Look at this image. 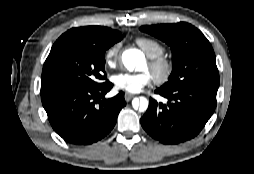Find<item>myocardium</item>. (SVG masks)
Segmentation results:
<instances>
[{
  "instance_id": "f54148a6",
  "label": "myocardium",
  "mask_w": 254,
  "mask_h": 174,
  "mask_svg": "<svg viewBox=\"0 0 254 174\" xmlns=\"http://www.w3.org/2000/svg\"><path fill=\"white\" fill-rule=\"evenodd\" d=\"M147 64L156 84L164 85L172 77L174 65L172 60L167 56L160 55L149 58Z\"/></svg>"
}]
</instances>
